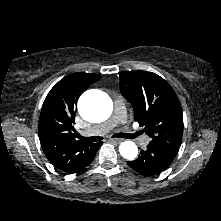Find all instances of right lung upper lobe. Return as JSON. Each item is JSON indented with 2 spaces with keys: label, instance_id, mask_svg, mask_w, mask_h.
I'll return each instance as SVG.
<instances>
[{
  "label": "right lung upper lobe",
  "instance_id": "1",
  "mask_svg": "<svg viewBox=\"0 0 221 221\" xmlns=\"http://www.w3.org/2000/svg\"><path fill=\"white\" fill-rule=\"evenodd\" d=\"M100 77L87 73L68 75L50 90L43 103L38 128L41 146L50 162L64 172L77 171L93 147L76 139L73 124L78 98Z\"/></svg>",
  "mask_w": 221,
  "mask_h": 221
}]
</instances>
